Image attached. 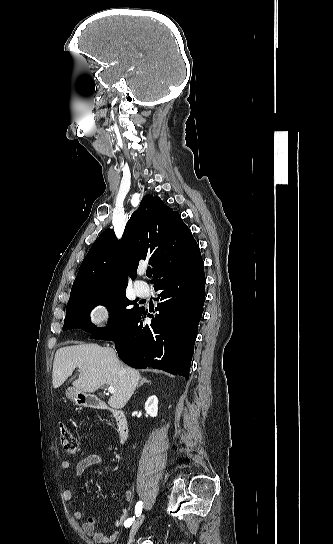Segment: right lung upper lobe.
<instances>
[{"label": "right lung upper lobe", "mask_w": 333, "mask_h": 544, "mask_svg": "<svg viewBox=\"0 0 333 544\" xmlns=\"http://www.w3.org/2000/svg\"><path fill=\"white\" fill-rule=\"evenodd\" d=\"M141 260H148L152 266L154 285L163 278L193 271L203 263L199 246L180 214L157 196L143 197L121 241L112 229L97 238L81 263L70 299L126 289L128 278L137 277Z\"/></svg>", "instance_id": "cb5924a9"}]
</instances>
